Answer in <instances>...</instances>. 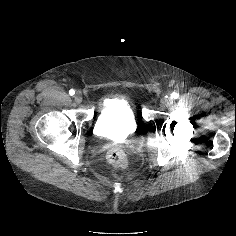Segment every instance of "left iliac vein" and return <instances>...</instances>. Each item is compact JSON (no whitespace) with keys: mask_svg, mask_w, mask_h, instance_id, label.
I'll return each instance as SVG.
<instances>
[{"mask_svg":"<svg viewBox=\"0 0 236 236\" xmlns=\"http://www.w3.org/2000/svg\"><path fill=\"white\" fill-rule=\"evenodd\" d=\"M171 102H172V99H171L170 97H168V98H163V99L161 100V104H162L163 106H169V105L171 104Z\"/></svg>","mask_w":236,"mask_h":236,"instance_id":"obj_1","label":"left iliac vein"}]
</instances>
